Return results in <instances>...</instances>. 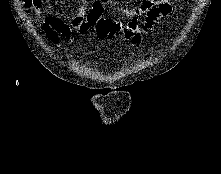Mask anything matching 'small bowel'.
<instances>
[{
	"label": "small bowel",
	"mask_w": 221,
	"mask_h": 174,
	"mask_svg": "<svg viewBox=\"0 0 221 174\" xmlns=\"http://www.w3.org/2000/svg\"><path fill=\"white\" fill-rule=\"evenodd\" d=\"M172 1L179 0H139L134 7L120 6L113 0H78L76 13L63 14L52 8L51 0H40L34 7V13L37 19H43L41 5L42 3L47 5L50 16L45 19V32L52 41H56L59 34L69 38L71 29L85 33L95 28L103 18L106 8L114 9L120 15L132 20L144 15L145 29L152 30L172 13ZM66 19H70L71 26L65 24Z\"/></svg>",
	"instance_id": "obj_1"
}]
</instances>
